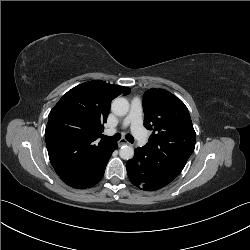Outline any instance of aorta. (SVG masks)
<instances>
[{
	"instance_id": "obj_1",
	"label": "aorta",
	"mask_w": 250,
	"mask_h": 250,
	"mask_svg": "<svg viewBox=\"0 0 250 250\" xmlns=\"http://www.w3.org/2000/svg\"><path fill=\"white\" fill-rule=\"evenodd\" d=\"M112 112L117 116H124L129 111V103L125 98H116L111 104ZM119 155L124 160H129L134 156V149L131 146L124 145L119 151Z\"/></svg>"
}]
</instances>
